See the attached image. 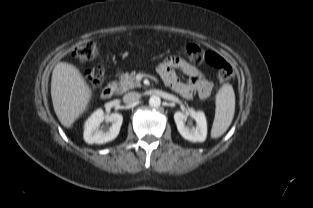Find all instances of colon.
<instances>
[{
  "instance_id": "5ec220e1",
  "label": "colon",
  "mask_w": 313,
  "mask_h": 208,
  "mask_svg": "<svg viewBox=\"0 0 313 208\" xmlns=\"http://www.w3.org/2000/svg\"><path fill=\"white\" fill-rule=\"evenodd\" d=\"M98 53L97 44L87 41L80 44L74 51V55L80 61L86 62L94 59ZM187 57L194 63H208L218 71V78L221 82H227L234 76L233 68L220 55L214 52H204L199 46L189 44L185 48ZM87 80L92 87H98L104 79V69L95 66L87 71Z\"/></svg>"
}]
</instances>
